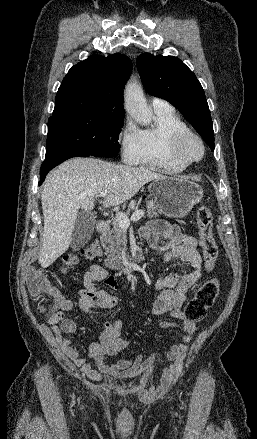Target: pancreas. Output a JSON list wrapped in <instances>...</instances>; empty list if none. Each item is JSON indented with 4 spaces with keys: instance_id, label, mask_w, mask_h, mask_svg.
Returning a JSON list of instances; mask_svg holds the SVG:
<instances>
[{
    "instance_id": "cf45deb5",
    "label": "pancreas",
    "mask_w": 257,
    "mask_h": 439,
    "mask_svg": "<svg viewBox=\"0 0 257 439\" xmlns=\"http://www.w3.org/2000/svg\"><path fill=\"white\" fill-rule=\"evenodd\" d=\"M148 205L147 217H157L161 213L159 205L154 200H147ZM134 209V206H130L125 215H129L130 210ZM126 229L122 228L116 219L112 222V230L102 236L103 247L107 259L105 260L106 266L113 268L116 264L121 262V251L126 244Z\"/></svg>"
}]
</instances>
